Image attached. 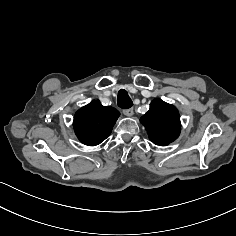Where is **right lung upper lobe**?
Here are the masks:
<instances>
[{
	"label": "right lung upper lobe",
	"mask_w": 236,
	"mask_h": 236,
	"mask_svg": "<svg viewBox=\"0 0 236 236\" xmlns=\"http://www.w3.org/2000/svg\"><path fill=\"white\" fill-rule=\"evenodd\" d=\"M119 115L117 109L94 100L76 112L73 121L75 134L85 145H98L110 135Z\"/></svg>",
	"instance_id": "cb5924a9"
}]
</instances>
